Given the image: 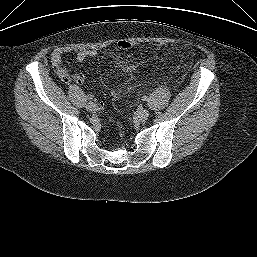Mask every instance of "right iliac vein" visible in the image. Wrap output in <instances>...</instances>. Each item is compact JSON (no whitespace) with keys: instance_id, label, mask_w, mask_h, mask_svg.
<instances>
[{"instance_id":"obj_1","label":"right iliac vein","mask_w":257,"mask_h":257,"mask_svg":"<svg viewBox=\"0 0 257 257\" xmlns=\"http://www.w3.org/2000/svg\"><path fill=\"white\" fill-rule=\"evenodd\" d=\"M86 110L89 112H95L96 111V105L92 102H89L86 104Z\"/></svg>"}]
</instances>
